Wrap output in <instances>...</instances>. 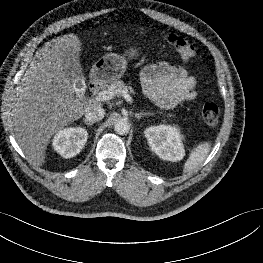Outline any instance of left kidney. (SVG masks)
I'll return each instance as SVG.
<instances>
[{
    "label": "left kidney",
    "mask_w": 263,
    "mask_h": 263,
    "mask_svg": "<svg viewBox=\"0 0 263 263\" xmlns=\"http://www.w3.org/2000/svg\"><path fill=\"white\" fill-rule=\"evenodd\" d=\"M148 144L161 159L172 162L184 157L182 137L177 127L158 125L146 128L144 131Z\"/></svg>",
    "instance_id": "left-kidney-1"
}]
</instances>
